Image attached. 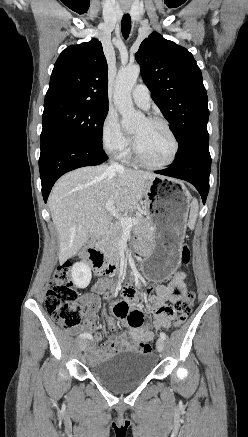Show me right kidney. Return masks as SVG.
I'll list each match as a JSON object with an SVG mask.
<instances>
[{
  "mask_svg": "<svg viewBox=\"0 0 248 437\" xmlns=\"http://www.w3.org/2000/svg\"><path fill=\"white\" fill-rule=\"evenodd\" d=\"M72 280L79 288H86L92 277L90 267L84 262L75 263L71 270Z\"/></svg>",
  "mask_w": 248,
  "mask_h": 437,
  "instance_id": "obj_1",
  "label": "right kidney"
}]
</instances>
